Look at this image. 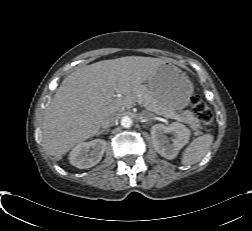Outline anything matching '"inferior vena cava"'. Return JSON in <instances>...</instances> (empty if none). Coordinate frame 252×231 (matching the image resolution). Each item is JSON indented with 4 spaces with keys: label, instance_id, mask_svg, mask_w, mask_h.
<instances>
[{
    "label": "inferior vena cava",
    "instance_id": "inferior-vena-cava-1",
    "mask_svg": "<svg viewBox=\"0 0 252 231\" xmlns=\"http://www.w3.org/2000/svg\"><path fill=\"white\" fill-rule=\"evenodd\" d=\"M118 115L117 114H111L106 117V119L102 122V127L103 128H108L110 126H113L114 124L117 123L118 121Z\"/></svg>",
    "mask_w": 252,
    "mask_h": 231
}]
</instances>
